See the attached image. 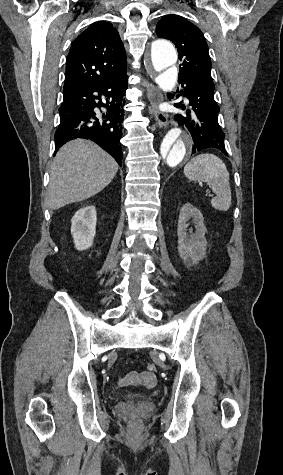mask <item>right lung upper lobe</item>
I'll use <instances>...</instances> for the list:
<instances>
[{"mask_svg":"<svg viewBox=\"0 0 283 475\" xmlns=\"http://www.w3.org/2000/svg\"><path fill=\"white\" fill-rule=\"evenodd\" d=\"M126 52L118 31L109 22L92 24L72 43L66 62L64 88L104 82L126 74Z\"/></svg>","mask_w":283,"mask_h":475,"instance_id":"1","label":"right lung upper lobe"}]
</instances>
